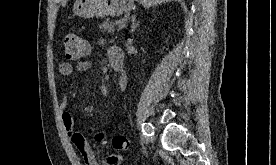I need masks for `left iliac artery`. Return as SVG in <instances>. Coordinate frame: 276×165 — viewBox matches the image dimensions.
<instances>
[{
  "label": "left iliac artery",
  "mask_w": 276,
  "mask_h": 165,
  "mask_svg": "<svg viewBox=\"0 0 276 165\" xmlns=\"http://www.w3.org/2000/svg\"><path fill=\"white\" fill-rule=\"evenodd\" d=\"M153 131H154V127L152 126L151 123L146 122L142 124V132L146 139L153 135Z\"/></svg>",
  "instance_id": "1"
}]
</instances>
